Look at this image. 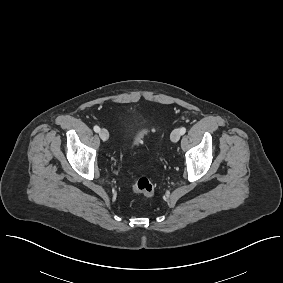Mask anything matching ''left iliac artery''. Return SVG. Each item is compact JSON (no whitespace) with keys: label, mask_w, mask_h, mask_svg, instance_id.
<instances>
[{"label":"left iliac artery","mask_w":283,"mask_h":283,"mask_svg":"<svg viewBox=\"0 0 283 283\" xmlns=\"http://www.w3.org/2000/svg\"><path fill=\"white\" fill-rule=\"evenodd\" d=\"M186 132V128L185 127H181L180 128V134L183 135Z\"/></svg>","instance_id":"obj_1"}]
</instances>
